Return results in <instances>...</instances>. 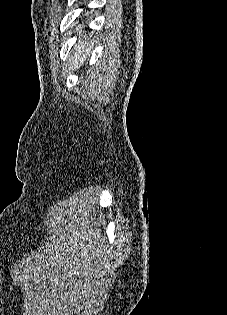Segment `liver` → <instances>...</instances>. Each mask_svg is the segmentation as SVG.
I'll return each mask as SVG.
<instances>
[{"label": "liver", "mask_w": 227, "mask_h": 315, "mask_svg": "<svg viewBox=\"0 0 227 315\" xmlns=\"http://www.w3.org/2000/svg\"><path fill=\"white\" fill-rule=\"evenodd\" d=\"M91 49L92 45H88L87 43L75 44L74 49L70 53L66 71L71 74L80 69L90 55Z\"/></svg>", "instance_id": "6515ba94"}]
</instances>
